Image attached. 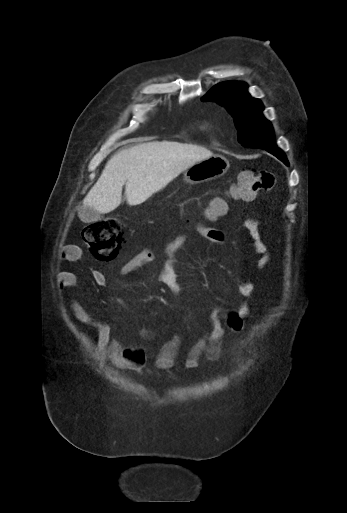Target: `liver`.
Masks as SVG:
<instances>
[{"instance_id": "6515ba94", "label": "liver", "mask_w": 347, "mask_h": 513, "mask_svg": "<svg viewBox=\"0 0 347 513\" xmlns=\"http://www.w3.org/2000/svg\"><path fill=\"white\" fill-rule=\"evenodd\" d=\"M212 155L207 148L171 141L121 150L107 162L79 210L90 208L102 214L115 210L122 200L123 185L127 203L141 204L182 171Z\"/></svg>"}]
</instances>
